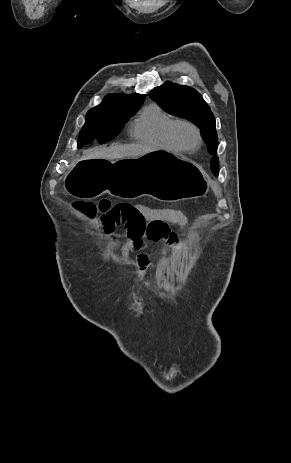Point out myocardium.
Returning <instances> with one entry per match:
<instances>
[{
	"label": "myocardium",
	"mask_w": 291,
	"mask_h": 463,
	"mask_svg": "<svg viewBox=\"0 0 291 463\" xmlns=\"http://www.w3.org/2000/svg\"><path fill=\"white\" fill-rule=\"evenodd\" d=\"M181 126H187L194 132L196 142L192 147L184 146L179 141L177 137V130ZM169 138L177 149L188 153L196 151L202 144V135L200 128L195 123L187 119H177L171 124L169 128Z\"/></svg>",
	"instance_id": "f54148a6"
}]
</instances>
